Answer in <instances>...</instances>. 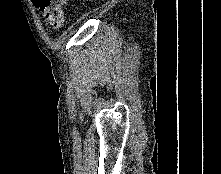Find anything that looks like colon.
I'll return each instance as SVG.
<instances>
[{
    "label": "colon",
    "mask_w": 221,
    "mask_h": 174,
    "mask_svg": "<svg viewBox=\"0 0 221 174\" xmlns=\"http://www.w3.org/2000/svg\"><path fill=\"white\" fill-rule=\"evenodd\" d=\"M68 0H34L45 20L55 27L64 24V5Z\"/></svg>",
    "instance_id": "1"
}]
</instances>
